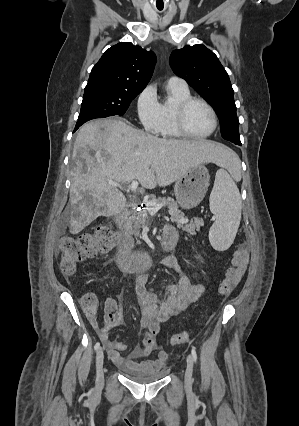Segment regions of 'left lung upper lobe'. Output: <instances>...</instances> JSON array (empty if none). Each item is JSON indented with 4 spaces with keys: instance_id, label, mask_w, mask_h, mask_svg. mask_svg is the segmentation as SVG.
<instances>
[{
    "instance_id": "left-lung-upper-lobe-1",
    "label": "left lung upper lobe",
    "mask_w": 299,
    "mask_h": 426,
    "mask_svg": "<svg viewBox=\"0 0 299 426\" xmlns=\"http://www.w3.org/2000/svg\"><path fill=\"white\" fill-rule=\"evenodd\" d=\"M170 66L198 94L213 105L224 139L241 145L234 91L217 56L202 44L174 50Z\"/></svg>"
}]
</instances>
